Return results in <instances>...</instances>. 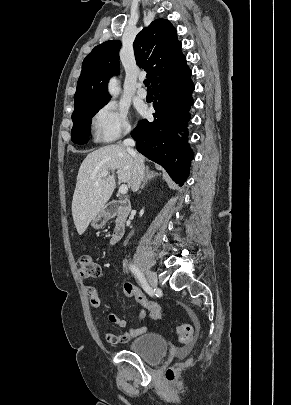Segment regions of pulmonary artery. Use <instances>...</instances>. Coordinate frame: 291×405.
<instances>
[{"instance_id":"pulmonary-artery-1","label":"pulmonary artery","mask_w":291,"mask_h":405,"mask_svg":"<svg viewBox=\"0 0 291 405\" xmlns=\"http://www.w3.org/2000/svg\"><path fill=\"white\" fill-rule=\"evenodd\" d=\"M137 95L142 99L146 98L147 96V91L143 87L142 82H139L137 85Z\"/></svg>"}]
</instances>
